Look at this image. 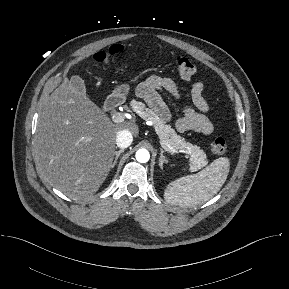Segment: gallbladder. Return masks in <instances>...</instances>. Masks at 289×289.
Wrapping results in <instances>:
<instances>
[{
  "label": "gallbladder",
  "mask_w": 289,
  "mask_h": 289,
  "mask_svg": "<svg viewBox=\"0 0 289 289\" xmlns=\"http://www.w3.org/2000/svg\"><path fill=\"white\" fill-rule=\"evenodd\" d=\"M70 81L76 89L85 91L84 81L79 76H72Z\"/></svg>",
  "instance_id": "1"
}]
</instances>
